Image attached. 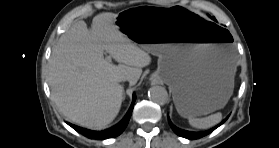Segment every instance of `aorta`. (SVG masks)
<instances>
[{"label":"aorta","instance_id":"762f6f07","mask_svg":"<svg viewBox=\"0 0 279 148\" xmlns=\"http://www.w3.org/2000/svg\"><path fill=\"white\" fill-rule=\"evenodd\" d=\"M149 99L159 105H164L168 102V92L162 86H153L148 92Z\"/></svg>","mask_w":279,"mask_h":148}]
</instances>
